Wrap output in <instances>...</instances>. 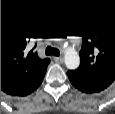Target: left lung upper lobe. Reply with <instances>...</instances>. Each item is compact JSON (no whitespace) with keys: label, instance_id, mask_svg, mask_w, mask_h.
<instances>
[{"label":"left lung upper lobe","instance_id":"left-lung-upper-lobe-1","mask_svg":"<svg viewBox=\"0 0 115 114\" xmlns=\"http://www.w3.org/2000/svg\"><path fill=\"white\" fill-rule=\"evenodd\" d=\"M80 35L83 37L80 66L67 73L110 85L115 80V18L93 22Z\"/></svg>","mask_w":115,"mask_h":114}]
</instances>
